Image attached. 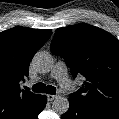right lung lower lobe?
Here are the masks:
<instances>
[{
  "instance_id": "1",
  "label": "right lung lower lobe",
  "mask_w": 119,
  "mask_h": 119,
  "mask_svg": "<svg viewBox=\"0 0 119 119\" xmlns=\"http://www.w3.org/2000/svg\"><path fill=\"white\" fill-rule=\"evenodd\" d=\"M46 102H47V98H46V96H43L42 100L38 106V109L35 112V114L33 115L32 119H38V114L44 109Z\"/></svg>"
}]
</instances>
